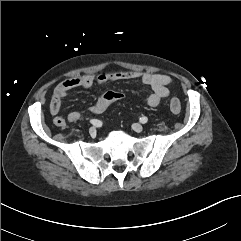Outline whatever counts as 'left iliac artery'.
I'll return each mask as SVG.
<instances>
[{"instance_id": "obj_1", "label": "left iliac artery", "mask_w": 241, "mask_h": 241, "mask_svg": "<svg viewBox=\"0 0 241 241\" xmlns=\"http://www.w3.org/2000/svg\"><path fill=\"white\" fill-rule=\"evenodd\" d=\"M147 121H148V118L145 117V116H143V117L140 118V122H141L142 124L147 123Z\"/></svg>"}]
</instances>
